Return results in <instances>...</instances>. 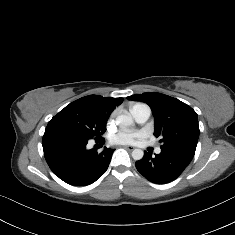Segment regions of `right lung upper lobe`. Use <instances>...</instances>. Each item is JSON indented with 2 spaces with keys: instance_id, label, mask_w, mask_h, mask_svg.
Masks as SVG:
<instances>
[{
  "instance_id": "obj_1",
  "label": "right lung upper lobe",
  "mask_w": 235,
  "mask_h": 235,
  "mask_svg": "<svg viewBox=\"0 0 235 235\" xmlns=\"http://www.w3.org/2000/svg\"><path fill=\"white\" fill-rule=\"evenodd\" d=\"M123 102V98H112V97H102L99 95H89L82 97L69 105H67L63 110L59 113H62L68 109L72 108H90L97 111H101L105 114L110 115L113 109L120 105ZM55 116L50 120L48 126H54L53 123Z\"/></svg>"
}]
</instances>
